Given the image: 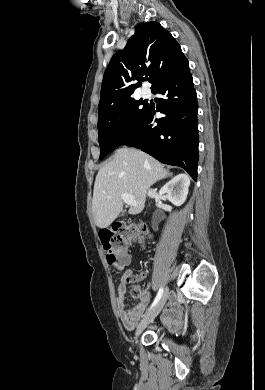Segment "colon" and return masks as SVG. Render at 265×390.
<instances>
[{
	"label": "colon",
	"mask_w": 265,
	"mask_h": 390,
	"mask_svg": "<svg viewBox=\"0 0 265 390\" xmlns=\"http://www.w3.org/2000/svg\"><path fill=\"white\" fill-rule=\"evenodd\" d=\"M148 235L146 225L128 226L123 223H116L111 230L101 234L100 239L103 248L106 251V259L113 269H122L125 266L127 255L125 249L127 244L135 237L139 241H143ZM140 279L137 275H132L128 278L129 283H136ZM131 295L134 298H139L142 292L139 287H133Z\"/></svg>",
	"instance_id": "colon-1"
}]
</instances>
